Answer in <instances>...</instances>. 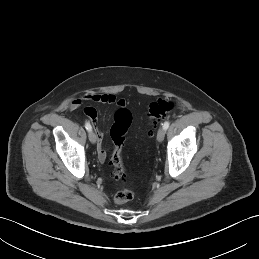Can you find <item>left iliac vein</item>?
Listing matches in <instances>:
<instances>
[{
  "instance_id": "1",
  "label": "left iliac vein",
  "mask_w": 259,
  "mask_h": 259,
  "mask_svg": "<svg viewBox=\"0 0 259 259\" xmlns=\"http://www.w3.org/2000/svg\"><path fill=\"white\" fill-rule=\"evenodd\" d=\"M165 137V129L164 128H160L157 132V140L158 142H162L164 140Z\"/></svg>"
}]
</instances>
